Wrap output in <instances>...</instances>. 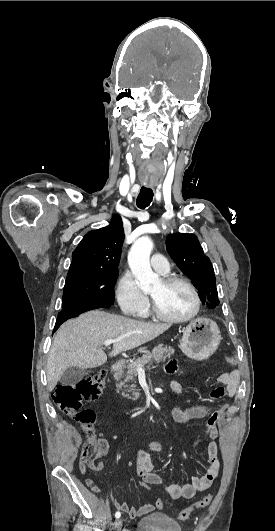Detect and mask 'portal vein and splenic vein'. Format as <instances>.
Wrapping results in <instances>:
<instances>
[{
    "mask_svg": "<svg viewBox=\"0 0 275 531\" xmlns=\"http://www.w3.org/2000/svg\"><path fill=\"white\" fill-rule=\"evenodd\" d=\"M117 341H120V339H110V341H104L105 347H110L112 343H117ZM138 369H141L142 371V365H138Z\"/></svg>",
    "mask_w": 275,
    "mask_h": 531,
    "instance_id": "portal-vein-and-splenic-vein-1",
    "label": "portal vein and splenic vein"
}]
</instances>
